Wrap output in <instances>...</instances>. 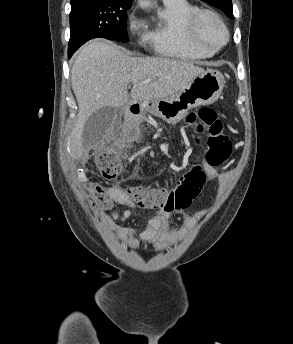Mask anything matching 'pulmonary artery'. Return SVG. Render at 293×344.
Masks as SVG:
<instances>
[{
  "mask_svg": "<svg viewBox=\"0 0 293 344\" xmlns=\"http://www.w3.org/2000/svg\"><path fill=\"white\" fill-rule=\"evenodd\" d=\"M163 1H173V0H163Z\"/></svg>",
  "mask_w": 293,
  "mask_h": 344,
  "instance_id": "e3ab8cb5",
  "label": "pulmonary artery"
}]
</instances>
